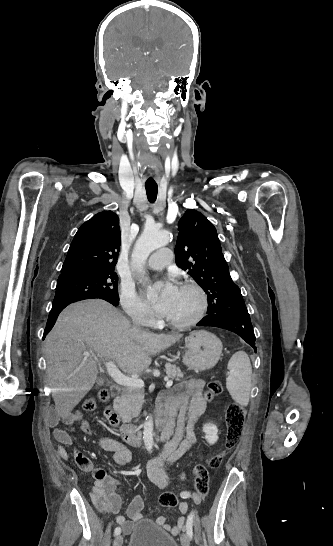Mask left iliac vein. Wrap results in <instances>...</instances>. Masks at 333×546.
Listing matches in <instances>:
<instances>
[{"label": "left iliac vein", "instance_id": "obj_1", "mask_svg": "<svg viewBox=\"0 0 333 546\" xmlns=\"http://www.w3.org/2000/svg\"><path fill=\"white\" fill-rule=\"evenodd\" d=\"M190 541L191 537L187 533L182 534L181 543L183 546H190Z\"/></svg>", "mask_w": 333, "mask_h": 546}]
</instances>
